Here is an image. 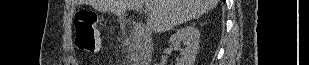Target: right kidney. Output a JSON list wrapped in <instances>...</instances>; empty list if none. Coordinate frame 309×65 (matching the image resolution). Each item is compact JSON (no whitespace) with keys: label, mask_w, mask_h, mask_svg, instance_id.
<instances>
[{"label":"right kidney","mask_w":309,"mask_h":65,"mask_svg":"<svg viewBox=\"0 0 309 65\" xmlns=\"http://www.w3.org/2000/svg\"><path fill=\"white\" fill-rule=\"evenodd\" d=\"M200 33L197 28L185 26L178 29L171 37L170 43L181 51V57L177 59L176 65H193L199 50ZM181 43L185 46L180 48Z\"/></svg>","instance_id":"obj_1"}]
</instances>
